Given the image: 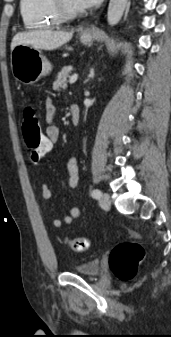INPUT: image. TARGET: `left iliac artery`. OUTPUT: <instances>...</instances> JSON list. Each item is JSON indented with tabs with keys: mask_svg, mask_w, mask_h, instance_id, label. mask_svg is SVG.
<instances>
[{
	"mask_svg": "<svg viewBox=\"0 0 171 337\" xmlns=\"http://www.w3.org/2000/svg\"><path fill=\"white\" fill-rule=\"evenodd\" d=\"M102 193L99 189H94L92 191V197L95 199H99L101 197Z\"/></svg>",
	"mask_w": 171,
	"mask_h": 337,
	"instance_id": "44dca946",
	"label": "left iliac artery"
}]
</instances>
